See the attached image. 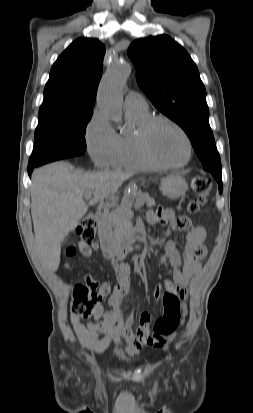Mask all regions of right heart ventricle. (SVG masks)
<instances>
[{"label": "right heart ventricle", "mask_w": 253, "mask_h": 413, "mask_svg": "<svg viewBox=\"0 0 253 413\" xmlns=\"http://www.w3.org/2000/svg\"><path fill=\"white\" fill-rule=\"evenodd\" d=\"M128 120L134 126L132 132L118 134V145L111 165L115 168L152 169L154 168L141 154L137 143V129L150 117L148 111L126 110Z\"/></svg>", "instance_id": "obj_1"}]
</instances>
